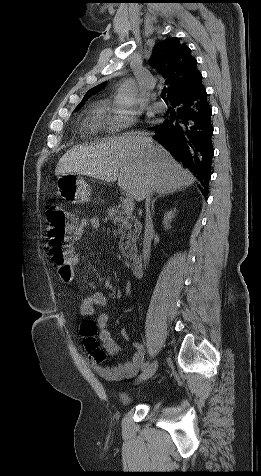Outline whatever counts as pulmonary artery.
<instances>
[{
    "instance_id": "e3ab8cb5",
    "label": "pulmonary artery",
    "mask_w": 261,
    "mask_h": 476,
    "mask_svg": "<svg viewBox=\"0 0 261 476\" xmlns=\"http://www.w3.org/2000/svg\"><path fill=\"white\" fill-rule=\"evenodd\" d=\"M153 107H154L156 110L160 111V112H162V111L165 110V105H164V103H163V102H160V101H155V102L153 103Z\"/></svg>"
}]
</instances>
